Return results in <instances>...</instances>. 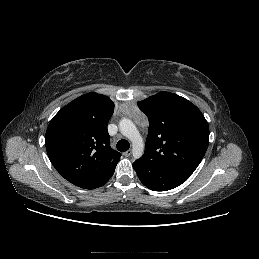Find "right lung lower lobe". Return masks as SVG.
Returning <instances> with one entry per match:
<instances>
[{"instance_id":"right-lung-lower-lobe-1","label":"right lung lower lobe","mask_w":259,"mask_h":259,"mask_svg":"<svg viewBox=\"0 0 259 259\" xmlns=\"http://www.w3.org/2000/svg\"><path fill=\"white\" fill-rule=\"evenodd\" d=\"M108 180H109V179H108ZM108 180H106L105 182H103L102 184H100L98 187L104 185ZM98 187H96V188H98Z\"/></svg>"}]
</instances>
